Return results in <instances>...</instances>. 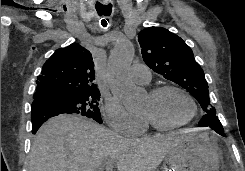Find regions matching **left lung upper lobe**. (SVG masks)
<instances>
[{"instance_id": "left-lung-upper-lobe-1", "label": "left lung upper lobe", "mask_w": 245, "mask_h": 171, "mask_svg": "<svg viewBox=\"0 0 245 171\" xmlns=\"http://www.w3.org/2000/svg\"><path fill=\"white\" fill-rule=\"evenodd\" d=\"M143 60L154 72L186 89L205 114L216 115L210 105L204 72L195 61L191 48L165 28L149 27L138 34Z\"/></svg>"}]
</instances>
